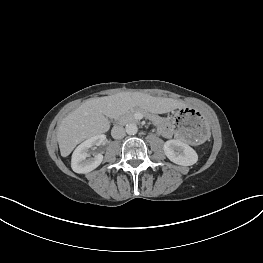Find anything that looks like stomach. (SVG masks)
<instances>
[{"mask_svg": "<svg viewBox=\"0 0 263 263\" xmlns=\"http://www.w3.org/2000/svg\"><path fill=\"white\" fill-rule=\"evenodd\" d=\"M175 131L189 144L205 143L211 134L209 122L191 108L179 110L173 119Z\"/></svg>", "mask_w": 263, "mask_h": 263, "instance_id": "0dacf381", "label": "stomach"}]
</instances>
